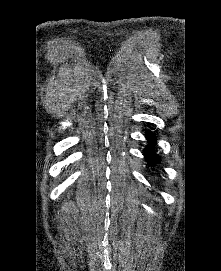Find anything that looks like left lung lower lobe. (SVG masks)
Instances as JSON below:
<instances>
[{
  "label": "left lung lower lobe",
  "mask_w": 221,
  "mask_h": 271,
  "mask_svg": "<svg viewBox=\"0 0 221 271\" xmlns=\"http://www.w3.org/2000/svg\"><path fill=\"white\" fill-rule=\"evenodd\" d=\"M146 138L148 140V146L144 150V155L148 164L155 166L159 161V156L155 153V145H156V136L152 132L146 133Z\"/></svg>",
  "instance_id": "1"
}]
</instances>
